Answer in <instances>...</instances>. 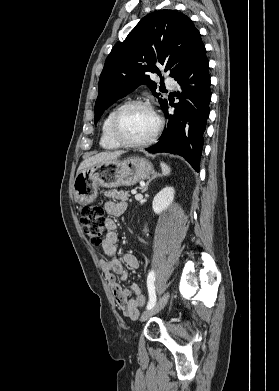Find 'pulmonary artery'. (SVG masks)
Returning a JSON list of instances; mask_svg holds the SVG:
<instances>
[{"label": "pulmonary artery", "instance_id": "pulmonary-artery-1", "mask_svg": "<svg viewBox=\"0 0 279 391\" xmlns=\"http://www.w3.org/2000/svg\"><path fill=\"white\" fill-rule=\"evenodd\" d=\"M165 82H166V84H167L168 86H170V87H175V86H176L175 81H174L173 79H171V78H167V79L165 80Z\"/></svg>", "mask_w": 279, "mask_h": 391}]
</instances>
